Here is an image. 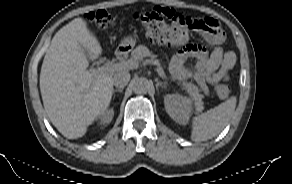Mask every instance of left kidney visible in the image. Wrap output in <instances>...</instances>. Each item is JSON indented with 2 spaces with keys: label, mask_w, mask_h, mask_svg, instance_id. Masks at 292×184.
Instances as JSON below:
<instances>
[{
  "label": "left kidney",
  "mask_w": 292,
  "mask_h": 184,
  "mask_svg": "<svg viewBox=\"0 0 292 184\" xmlns=\"http://www.w3.org/2000/svg\"><path fill=\"white\" fill-rule=\"evenodd\" d=\"M165 109L168 115L177 123L187 124L193 111L192 101L180 94H167L164 97Z\"/></svg>",
  "instance_id": "5707ae66"
}]
</instances>
